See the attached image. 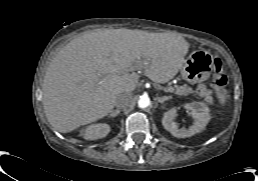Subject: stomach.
Wrapping results in <instances>:
<instances>
[{"label":"stomach","instance_id":"stomach-1","mask_svg":"<svg viewBox=\"0 0 258 181\" xmlns=\"http://www.w3.org/2000/svg\"><path fill=\"white\" fill-rule=\"evenodd\" d=\"M214 58L205 50L193 51L180 69L182 79L195 84L207 80L213 70Z\"/></svg>","mask_w":258,"mask_h":181}]
</instances>
